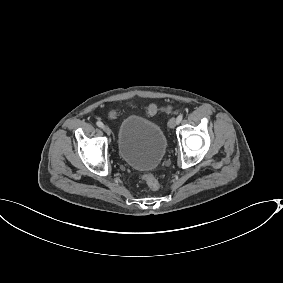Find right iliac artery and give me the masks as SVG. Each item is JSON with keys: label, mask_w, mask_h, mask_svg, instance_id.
Instances as JSON below:
<instances>
[{"label": "right iliac artery", "mask_w": 283, "mask_h": 283, "mask_svg": "<svg viewBox=\"0 0 283 283\" xmlns=\"http://www.w3.org/2000/svg\"><path fill=\"white\" fill-rule=\"evenodd\" d=\"M96 125L100 128H103L104 127V124L101 122V121H97L96 122Z\"/></svg>", "instance_id": "obj_1"}]
</instances>
